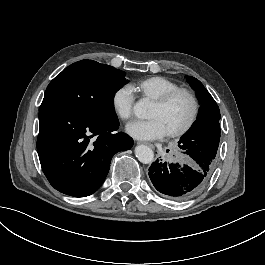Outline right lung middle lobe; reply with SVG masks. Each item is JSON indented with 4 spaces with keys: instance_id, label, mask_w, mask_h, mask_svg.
Returning a JSON list of instances; mask_svg holds the SVG:
<instances>
[{
    "instance_id": "1",
    "label": "right lung middle lobe",
    "mask_w": 265,
    "mask_h": 265,
    "mask_svg": "<svg viewBox=\"0 0 265 265\" xmlns=\"http://www.w3.org/2000/svg\"><path fill=\"white\" fill-rule=\"evenodd\" d=\"M125 75L93 60L78 61L50 82L42 105H59L93 119L118 121L113 100L115 93L128 82Z\"/></svg>"
}]
</instances>
